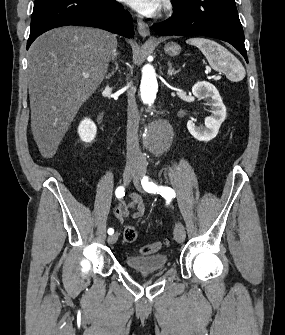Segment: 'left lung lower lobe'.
<instances>
[{
    "mask_svg": "<svg viewBox=\"0 0 285 335\" xmlns=\"http://www.w3.org/2000/svg\"><path fill=\"white\" fill-rule=\"evenodd\" d=\"M174 15L152 26L161 36L203 35L232 44L248 62L235 0H172Z\"/></svg>",
    "mask_w": 285,
    "mask_h": 335,
    "instance_id": "0a47b994",
    "label": "left lung lower lobe"
}]
</instances>
